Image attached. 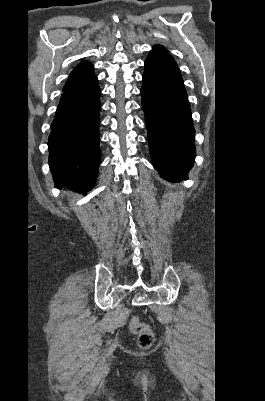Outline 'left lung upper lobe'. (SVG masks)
Returning <instances> with one entry per match:
<instances>
[{"label": "left lung upper lobe", "mask_w": 265, "mask_h": 401, "mask_svg": "<svg viewBox=\"0 0 265 401\" xmlns=\"http://www.w3.org/2000/svg\"><path fill=\"white\" fill-rule=\"evenodd\" d=\"M149 56H158L175 62V60L169 55L168 51L160 45L154 46V49L150 52Z\"/></svg>", "instance_id": "5c2ea615"}]
</instances>
